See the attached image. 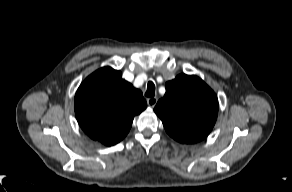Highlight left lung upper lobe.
Wrapping results in <instances>:
<instances>
[{"label": "left lung upper lobe", "mask_w": 292, "mask_h": 192, "mask_svg": "<svg viewBox=\"0 0 292 192\" xmlns=\"http://www.w3.org/2000/svg\"><path fill=\"white\" fill-rule=\"evenodd\" d=\"M154 111L173 139L196 143L212 130L218 114V99L199 77L180 74L166 83V93Z\"/></svg>", "instance_id": "left-lung-upper-lobe-1"}]
</instances>
